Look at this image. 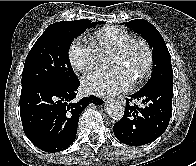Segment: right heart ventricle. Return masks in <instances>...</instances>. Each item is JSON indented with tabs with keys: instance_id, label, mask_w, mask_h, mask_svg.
I'll return each mask as SVG.
<instances>
[{
	"instance_id": "e07e8e85",
	"label": "right heart ventricle",
	"mask_w": 196,
	"mask_h": 166,
	"mask_svg": "<svg viewBox=\"0 0 196 166\" xmlns=\"http://www.w3.org/2000/svg\"><path fill=\"white\" fill-rule=\"evenodd\" d=\"M135 38L129 31L110 27L97 31L93 38V43L101 53L116 52L122 48L129 40Z\"/></svg>"
}]
</instances>
